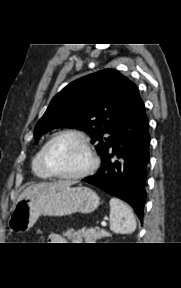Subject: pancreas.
Instances as JSON below:
<instances>
[{"mask_svg": "<svg viewBox=\"0 0 181 288\" xmlns=\"http://www.w3.org/2000/svg\"><path fill=\"white\" fill-rule=\"evenodd\" d=\"M108 235L109 233L105 230L93 228H82L78 231L69 229L67 232L63 233V236L67 237L69 240H72L75 243H82L83 240L85 241V243H94L96 240H100Z\"/></svg>", "mask_w": 181, "mask_h": 288, "instance_id": "obj_1", "label": "pancreas"}]
</instances>
